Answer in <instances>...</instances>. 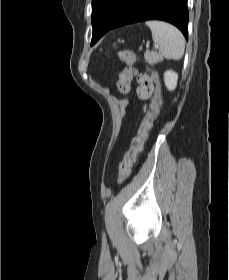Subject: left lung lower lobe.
<instances>
[{
	"instance_id": "0a47b994",
	"label": "left lung lower lobe",
	"mask_w": 229,
	"mask_h": 280,
	"mask_svg": "<svg viewBox=\"0 0 229 280\" xmlns=\"http://www.w3.org/2000/svg\"><path fill=\"white\" fill-rule=\"evenodd\" d=\"M188 19L187 0H132L112 29L146 20H163L178 27L188 39Z\"/></svg>"
}]
</instances>
